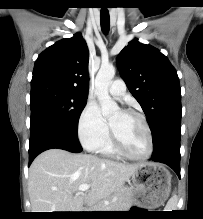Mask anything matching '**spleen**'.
<instances>
[{
  "label": "spleen",
  "instance_id": "1",
  "mask_svg": "<svg viewBox=\"0 0 203 219\" xmlns=\"http://www.w3.org/2000/svg\"><path fill=\"white\" fill-rule=\"evenodd\" d=\"M176 204H177V196L176 194H173V196L170 198V200L166 205V209H168V211L176 210Z\"/></svg>",
  "mask_w": 203,
  "mask_h": 219
}]
</instances>
